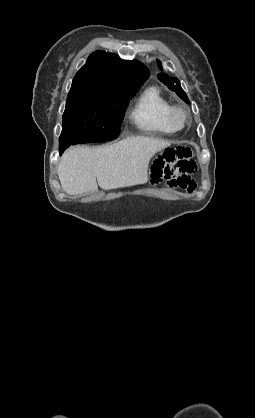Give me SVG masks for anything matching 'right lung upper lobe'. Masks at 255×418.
Returning a JSON list of instances; mask_svg holds the SVG:
<instances>
[{"label":"right lung upper lobe","mask_w":255,"mask_h":418,"mask_svg":"<svg viewBox=\"0 0 255 418\" xmlns=\"http://www.w3.org/2000/svg\"><path fill=\"white\" fill-rule=\"evenodd\" d=\"M149 70L137 60H121L116 54L93 52L75 75L70 91L105 90L131 91L141 87Z\"/></svg>","instance_id":"obj_1"}]
</instances>
